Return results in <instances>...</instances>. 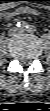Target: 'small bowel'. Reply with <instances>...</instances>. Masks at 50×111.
Instances as JSON below:
<instances>
[{"label":"small bowel","mask_w":50,"mask_h":111,"mask_svg":"<svg viewBox=\"0 0 50 111\" xmlns=\"http://www.w3.org/2000/svg\"><path fill=\"white\" fill-rule=\"evenodd\" d=\"M22 14H32V15H38L39 11H37L36 9L30 8V7H19L17 8L15 11L13 12H8V13H4L3 17L6 20L11 19L14 16H18V15H22Z\"/></svg>","instance_id":"obj_1"}]
</instances>
